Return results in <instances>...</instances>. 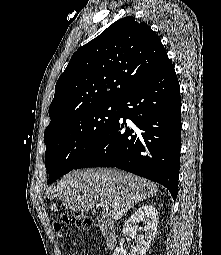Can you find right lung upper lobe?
Instances as JSON below:
<instances>
[{"mask_svg": "<svg viewBox=\"0 0 221 255\" xmlns=\"http://www.w3.org/2000/svg\"><path fill=\"white\" fill-rule=\"evenodd\" d=\"M167 57L147 24L134 17L114 22L71 57L56 83L46 130L81 109L119 103Z\"/></svg>", "mask_w": 221, "mask_h": 255, "instance_id": "1", "label": "right lung upper lobe"}]
</instances>
